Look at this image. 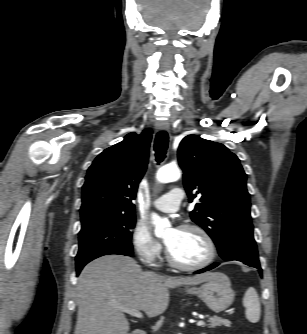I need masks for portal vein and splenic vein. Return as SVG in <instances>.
<instances>
[{
	"mask_svg": "<svg viewBox=\"0 0 307 334\" xmlns=\"http://www.w3.org/2000/svg\"><path fill=\"white\" fill-rule=\"evenodd\" d=\"M119 310H121L122 312L128 313L133 317H136L139 319L143 318V314L139 310L124 308V307H119ZM203 324H204L203 320H200L197 322V326H202Z\"/></svg>",
	"mask_w": 307,
	"mask_h": 334,
	"instance_id": "1",
	"label": "portal vein and splenic vein"
}]
</instances>
